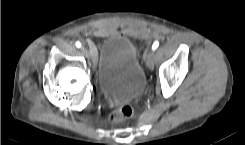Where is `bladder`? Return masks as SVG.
Segmentation results:
<instances>
[{
    "label": "bladder",
    "mask_w": 245,
    "mask_h": 145,
    "mask_svg": "<svg viewBox=\"0 0 245 145\" xmlns=\"http://www.w3.org/2000/svg\"><path fill=\"white\" fill-rule=\"evenodd\" d=\"M96 74L101 91L109 98L133 99L144 89V71L130 37L114 33L104 37Z\"/></svg>",
    "instance_id": "1"
}]
</instances>
